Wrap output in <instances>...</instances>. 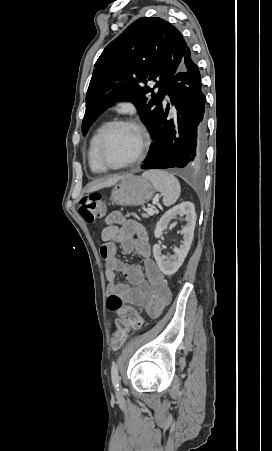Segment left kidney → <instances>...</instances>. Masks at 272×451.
<instances>
[{"mask_svg":"<svg viewBox=\"0 0 272 451\" xmlns=\"http://www.w3.org/2000/svg\"><path fill=\"white\" fill-rule=\"evenodd\" d=\"M176 216H186L185 220L187 224L181 229L182 233H184V241H182L180 247H174V255H170V257L165 259V255H162L161 253L160 243H155V245H153L154 257L158 263L159 269H161L165 275H172V273H175V271L179 269L191 247L196 224L194 204H192V202H182L179 206H174V208L168 210L156 224L154 231L155 237H161L164 229H166L171 220L176 218Z\"/></svg>","mask_w":272,"mask_h":451,"instance_id":"5707ae66","label":"left kidney"}]
</instances>
